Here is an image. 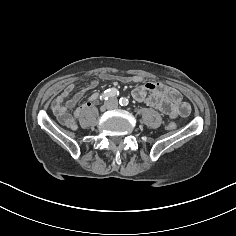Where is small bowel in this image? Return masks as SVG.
<instances>
[{
	"label": "small bowel",
	"instance_id": "small-bowel-1",
	"mask_svg": "<svg viewBox=\"0 0 236 236\" xmlns=\"http://www.w3.org/2000/svg\"><path fill=\"white\" fill-rule=\"evenodd\" d=\"M105 79H112L110 75H104ZM123 83H135L138 86L132 91L133 98L140 103L159 110L169 117H186L190 114V105L182 99L180 92L174 87L157 82H147L140 75L121 76L118 78ZM97 84L96 80H91L88 85L77 93L73 94L74 85L68 84L54 99L52 104L53 113L57 121L69 129L76 128V120L80 118L84 110L98 99V94L93 93L88 101L77 106L88 89ZM69 109H73L69 113Z\"/></svg>",
	"mask_w": 236,
	"mask_h": 236
}]
</instances>
